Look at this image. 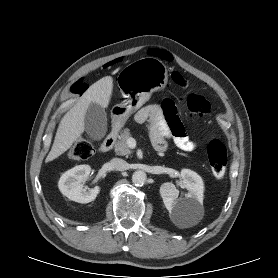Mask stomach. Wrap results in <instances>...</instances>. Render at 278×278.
<instances>
[{
	"label": "stomach",
	"mask_w": 278,
	"mask_h": 278,
	"mask_svg": "<svg viewBox=\"0 0 278 278\" xmlns=\"http://www.w3.org/2000/svg\"><path fill=\"white\" fill-rule=\"evenodd\" d=\"M167 81V67L157 58H141L124 67L118 74L117 84L125 100L111 110L113 126L122 127L153 92L166 87Z\"/></svg>",
	"instance_id": "1"
}]
</instances>
